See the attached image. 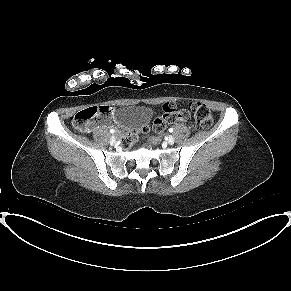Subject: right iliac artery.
<instances>
[{"instance_id":"1","label":"right iliac artery","mask_w":291,"mask_h":291,"mask_svg":"<svg viewBox=\"0 0 291 291\" xmlns=\"http://www.w3.org/2000/svg\"><path fill=\"white\" fill-rule=\"evenodd\" d=\"M114 132H115V131H114L113 129H111V130H110V133H112V134H113Z\"/></svg>"}]
</instances>
